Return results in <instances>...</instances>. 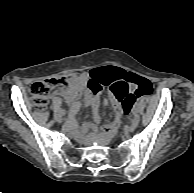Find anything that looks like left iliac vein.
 Segmentation results:
<instances>
[{
    "instance_id": "obj_1",
    "label": "left iliac vein",
    "mask_w": 194,
    "mask_h": 193,
    "mask_svg": "<svg viewBox=\"0 0 194 193\" xmlns=\"http://www.w3.org/2000/svg\"><path fill=\"white\" fill-rule=\"evenodd\" d=\"M136 114H137V110L135 108L133 110V115H135V116H134V119H133L132 124L130 126V130H134L138 126V124H139L140 119H139V116L136 115Z\"/></svg>"
}]
</instances>
